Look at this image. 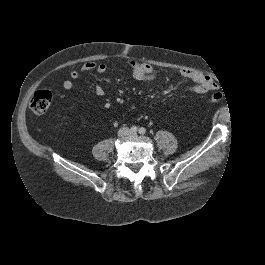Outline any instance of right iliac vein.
<instances>
[{"mask_svg":"<svg viewBox=\"0 0 265 265\" xmlns=\"http://www.w3.org/2000/svg\"><path fill=\"white\" fill-rule=\"evenodd\" d=\"M130 134V131L127 128H121L118 131V136L119 137H124V136H128Z\"/></svg>","mask_w":265,"mask_h":265,"instance_id":"obj_1","label":"right iliac vein"}]
</instances>
